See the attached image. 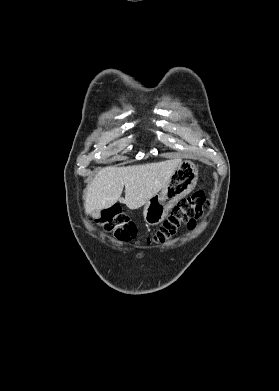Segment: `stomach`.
Instances as JSON below:
<instances>
[{
	"label": "stomach",
	"mask_w": 279,
	"mask_h": 391,
	"mask_svg": "<svg viewBox=\"0 0 279 391\" xmlns=\"http://www.w3.org/2000/svg\"><path fill=\"white\" fill-rule=\"evenodd\" d=\"M198 168L189 161H182L161 192L152 196L144 205L143 217L149 225L160 224L169 211L196 186Z\"/></svg>",
	"instance_id": "stomach-1"
}]
</instances>
